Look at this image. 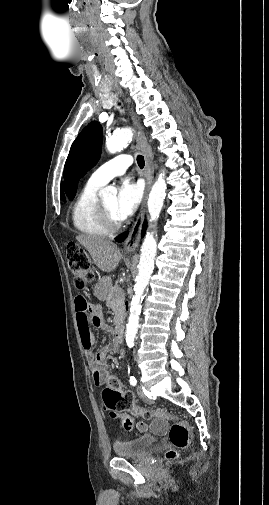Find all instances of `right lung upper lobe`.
I'll return each mask as SVG.
<instances>
[{
    "mask_svg": "<svg viewBox=\"0 0 269 505\" xmlns=\"http://www.w3.org/2000/svg\"><path fill=\"white\" fill-rule=\"evenodd\" d=\"M61 198L65 201V196H64V193H63V187L61 185Z\"/></svg>",
    "mask_w": 269,
    "mask_h": 505,
    "instance_id": "1",
    "label": "right lung upper lobe"
}]
</instances>
